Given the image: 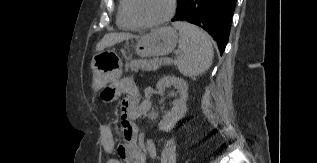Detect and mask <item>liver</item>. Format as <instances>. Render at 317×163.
I'll list each match as a JSON object with an SVG mask.
<instances>
[{"label": "liver", "instance_id": "obj_1", "mask_svg": "<svg viewBox=\"0 0 317 163\" xmlns=\"http://www.w3.org/2000/svg\"><path fill=\"white\" fill-rule=\"evenodd\" d=\"M138 38V36L129 33H109L106 34L96 45V51H102L107 47L114 46L124 40Z\"/></svg>", "mask_w": 317, "mask_h": 163}]
</instances>
